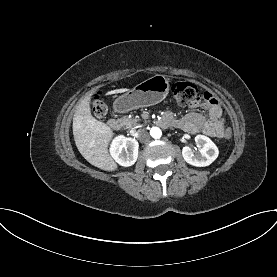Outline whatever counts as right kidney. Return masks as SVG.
I'll return each mask as SVG.
<instances>
[{
	"label": "right kidney",
	"instance_id": "ca27d5eb",
	"mask_svg": "<svg viewBox=\"0 0 277 277\" xmlns=\"http://www.w3.org/2000/svg\"><path fill=\"white\" fill-rule=\"evenodd\" d=\"M138 148L139 144L136 139L120 135L112 141L110 154L119 165L128 167L136 162Z\"/></svg>",
	"mask_w": 277,
	"mask_h": 277
}]
</instances>
